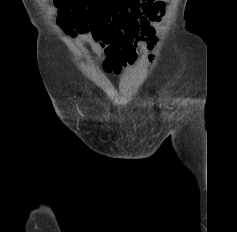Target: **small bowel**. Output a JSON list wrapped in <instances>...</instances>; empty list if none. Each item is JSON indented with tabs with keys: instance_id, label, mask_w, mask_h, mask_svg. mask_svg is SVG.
Instances as JSON below:
<instances>
[{
	"instance_id": "1",
	"label": "small bowel",
	"mask_w": 237,
	"mask_h": 232,
	"mask_svg": "<svg viewBox=\"0 0 237 232\" xmlns=\"http://www.w3.org/2000/svg\"><path fill=\"white\" fill-rule=\"evenodd\" d=\"M164 12V0H146L128 15L107 20L100 32L82 34L79 39L98 57L104 56L106 71L119 73L135 60L140 47H145L150 52V59L153 58Z\"/></svg>"
}]
</instances>
